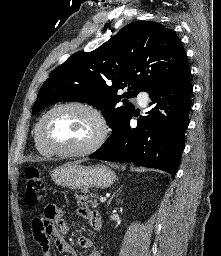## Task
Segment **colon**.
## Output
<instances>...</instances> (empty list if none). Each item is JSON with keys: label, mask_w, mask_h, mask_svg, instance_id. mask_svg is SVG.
<instances>
[{"label": "colon", "mask_w": 221, "mask_h": 256, "mask_svg": "<svg viewBox=\"0 0 221 256\" xmlns=\"http://www.w3.org/2000/svg\"><path fill=\"white\" fill-rule=\"evenodd\" d=\"M25 200L29 207L36 206L45 196V182L35 167H29L25 171Z\"/></svg>", "instance_id": "1"}]
</instances>
